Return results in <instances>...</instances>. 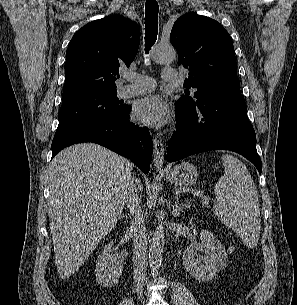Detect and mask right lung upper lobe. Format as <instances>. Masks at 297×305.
<instances>
[{
	"instance_id": "right-lung-upper-lobe-1",
	"label": "right lung upper lobe",
	"mask_w": 297,
	"mask_h": 305,
	"mask_svg": "<svg viewBox=\"0 0 297 305\" xmlns=\"http://www.w3.org/2000/svg\"><path fill=\"white\" fill-rule=\"evenodd\" d=\"M139 44L140 28L123 16H109L83 26L68 45L62 101L116 91L119 71L130 66Z\"/></svg>"
}]
</instances>
